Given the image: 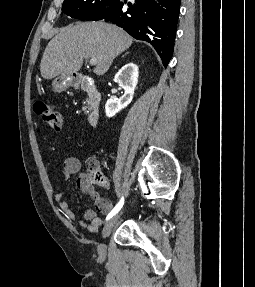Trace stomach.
<instances>
[{
    "instance_id": "0dacf381",
    "label": "stomach",
    "mask_w": 255,
    "mask_h": 287,
    "mask_svg": "<svg viewBox=\"0 0 255 287\" xmlns=\"http://www.w3.org/2000/svg\"><path fill=\"white\" fill-rule=\"evenodd\" d=\"M69 86H73L71 74H63V76H58V78L52 82L53 92H64V90H67Z\"/></svg>"
}]
</instances>
